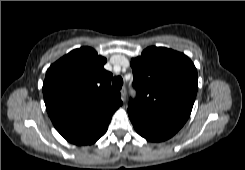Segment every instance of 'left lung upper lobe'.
<instances>
[{"mask_svg": "<svg viewBox=\"0 0 245 170\" xmlns=\"http://www.w3.org/2000/svg\"><path fill=\"white\" fill-rule=\"evenodd\" d=\"M137 91L128 112L180 129L190 116L197 93V70L183 53L148 47L131 61Z\"/></svg>", "mask_w": 245, "mask_h": 170, "instance_id": "1", "label": "left lung upper lobe"}]
</instances>
